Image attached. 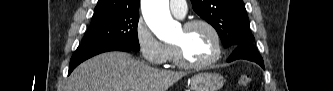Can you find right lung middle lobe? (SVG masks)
Instances as JSON below:
<instances>
[{
	"mask_svg": "<svg viewBox=\"0 0 333 91\" xmlns=\"http://www.w3.org/2000/svg\"><path fill=\"white\" fill-rule=\"evenodd\" d=\"M138 21L139 13H123L92 18L81 45L117 44L138 51L140 49L137 36Z\"/></svg>",
	"mask_w": 333,
	"mask_h": 91,
	"instance_id": "1",
	"label": "right lung middle lobe"
}]
</instances>
